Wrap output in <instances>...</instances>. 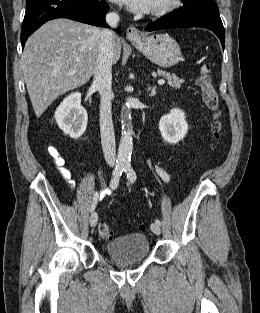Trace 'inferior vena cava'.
<instances>
[{"label": "inferior vena cava", "instance_id": "inferior-vena-cava-1", "mask_svg": "<svg viewBox=\"0 0 260 313\" xmlns=\"http://www.w3.org/2000/svg\"><path fill=\"white\" fill-rule=\"evenodd\" d=\"M106 22L111 28H115L119 22L116 12L106 15ZM99 48L95 64L93 85L98 89L100 101V132L101 144L105 160L109 166H114L116 160V145L112 122V63L113 41L115 34L111 29H101Z\"/></svg>", "mask_w": 260, "mask_h": 313}]
</instances>
